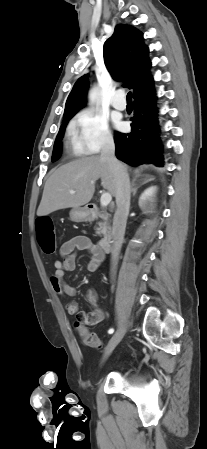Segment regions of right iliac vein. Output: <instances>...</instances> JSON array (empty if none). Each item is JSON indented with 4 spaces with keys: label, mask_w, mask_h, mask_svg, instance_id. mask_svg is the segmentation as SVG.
Here are the masks:
<instances>
[{
    "label": "right iliac vein",
    "mask_w": 207,
    "mask_h": 449,
    "mask_svg": "<svg viewBox=\"0 0 207 449\" xmlns=\"http://www.w3.org/2000/svg\"><path fill=\"white\" fill-rule=\"evenodd\" d=\"M125 333L124 327H120L116 333L110 339L104 354V359H106L114 350V348L118 345V343L122 340Z\"/></svg>",
    "instance_id": "1"
}]
</instances>
